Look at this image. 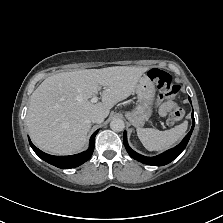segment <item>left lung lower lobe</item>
Segmentation results:
<instances>
[{"label":"left lung lower lobe","instance_id":"0a47b994","mask_svg":"<svg viewBox=\"0 0 223 223\" xmlns=\"http://www.w3.org/2000/svg\"><path fill=\"white\" fill-rule=\"evenodd\" d=\"M189 101L191 102L190 98H189ZM191 116H192V120H193L192 128H191L190 132L184 137L182 142L179 145H177L176 147H174L170 150H167L166 152H164L160 155L154 156V157H146V156L140 155V154L136 153L134 150H132L127 143L126 132H124L123 142H124V146H125L128 154L132 158H134L144 164H148V165L163 166V165L170 163L171 161H173L180 155V153L185 149V147L190 139V136L192 134V131H193L194 125H195V119H194L193 112H192Z\"/></svg>","mask_w":223,"mask_h":223}]
</instances>
